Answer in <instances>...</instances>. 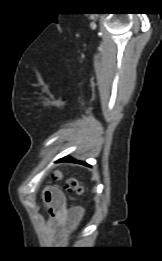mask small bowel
<instances>
[{"instance_id":"c3829d8e","label":"small bowel","mask_w":162,"mask_h":261,"mask_svg":"<svg viewBox=\"0 0 162 261\" xmlns=\"http://www.w3.org/2000/svg\"><path fill=\"white\" fill-rule=\"evenodd\" d=\"M45 199L48 204V212L51 225L54 229L67 232L72 229L74 223L79 219L81 210H73L68 213L64 195L56 188L46 191Z\"/></svg>"}]
</instances>
